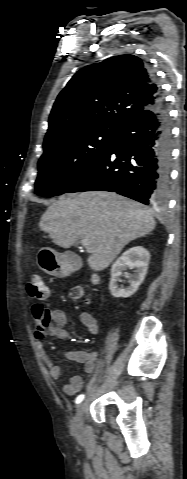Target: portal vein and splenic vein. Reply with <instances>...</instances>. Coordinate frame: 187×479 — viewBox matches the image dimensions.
<instances>
[{
	"mask_svg": "<svg viewBox=\"0 0 187 479\" xmlns=\"http://www.w3.org/2000/svg\"><path fill=\"white\" fill-rule=\"evenodd\" d=\"M81 245H82L83 247H85V248L87 249V251L90 250V244H89L88 240L82 239V240H81Z\"/></svg>",
	"mask_w": 187,
	"mask_h": 479,
	"instance_id": "18ae733b",
	"label": "portal vein and splenic vein"
}]
</instances>
